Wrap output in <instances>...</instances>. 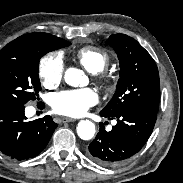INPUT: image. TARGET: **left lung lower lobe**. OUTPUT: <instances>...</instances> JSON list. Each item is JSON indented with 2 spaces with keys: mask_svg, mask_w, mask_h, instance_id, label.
Returning <instances> with one entry per match:
<instances>
[{
  "mask_svg": "<svg viewBox=\"0 0 183 183\" xmlns=\"http://www.w3.org/2000/svg\"><path fill=\"white\" fill-rule=\"evenodd\" d=\"M100 115L117 120L109 132L100 123L99 132L88 147V156L102 166L120 164L140 151L157 119V113L142 109H128L113 116Z\"/></svg>",
  "mask_w": 183,
  "mask_h": 183,
  "instance_id": "left-lung-lower-lobe-1",
  "label": "left lung lower lobe"
}]
</instances>
